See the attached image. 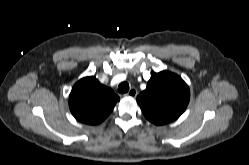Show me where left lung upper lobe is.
<instances>
[{
  "label": "left lung upper lobe",
  "instance_id": "obj_1",
  "mask_svg": "<svg viewBox=\"0 0 249 165\" xmlns=\"http://www.w3.org/2000/svg\"><path fill=\"white\" fill-rule=\"evenodd\" d=\"M190 91L180 76L169 71L151 75L137 102L144 116L156 125L176 120L186 109Z\"/></svg>",
  "mask_w": 249,
  "mask_h": 165
}]
</instances>
